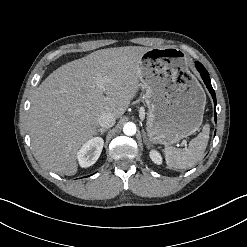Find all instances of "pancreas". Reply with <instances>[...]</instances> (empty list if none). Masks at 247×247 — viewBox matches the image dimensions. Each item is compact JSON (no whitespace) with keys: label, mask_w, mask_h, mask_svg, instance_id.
I'll return each instance as SVG.
<instances>
[{"label":"pancreas","mask_w":247,"mask_h":247,"mask_svg":"<svg viewBox=\"0 0 247 247\" xmlns=\"http://www.w3.org/2000/svg\"><path fill=\"white\" fill-rule=\"evenodd\" d=\"M140 113H141V116H142V115H144V111H143V110H141V112H140Z\"/></svg>","instance_id":"1"}]
</instances>
